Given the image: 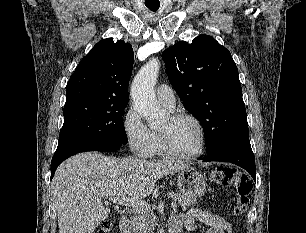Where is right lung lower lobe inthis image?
Segmentation results:
<instances>
[{
  "label": "right lung lower lobe",
  "instance_id": "1",
  "mask_svg": "<svg viewBox=\"0 0 306 233\" xmlns=\"http://www.w3.org/2000/svg\"><path fill=\"white\" fill-rule=\"evenodd\" d=\"M123 144H97V143H86L80 144L68 148L60 153L54 154L51 161V179L54 176V173L58 165L63 162L68 157L85 151H101V152H111L118 150Z\"/></svg>",
  "mask_w": 306,
  "mask_h": 233
}]
</instances>
